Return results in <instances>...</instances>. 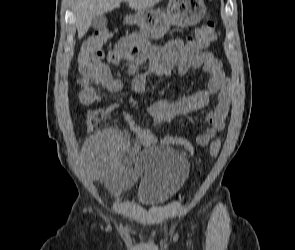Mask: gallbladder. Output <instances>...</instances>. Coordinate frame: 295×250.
<instances>
[{
    "label": "gallbladder",
    "mask_w": 295,
    "mask_h": 250,
    "mask_svg": "<svg viewBox=\"0 0 295 250\" xmlns=\"http://www.w3.org/2000/svg\"><path fill=\"white\" fill-rule=\"evenodd\" d=\"M107 25V18L105 15H98L92 18L91 27L93 29L102 30Z\"/></svg>",
    "instance_id": "obj_1"
}]
</instances>
